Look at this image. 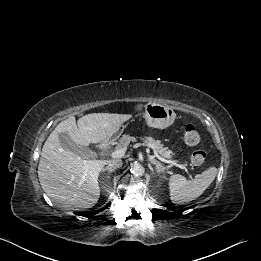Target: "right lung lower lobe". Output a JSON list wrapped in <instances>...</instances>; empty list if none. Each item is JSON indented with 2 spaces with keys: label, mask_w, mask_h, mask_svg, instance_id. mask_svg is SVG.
<instances>
[{
  "label": "right lung lower lobe",
  "mask_w": 261,
  "mask_h": 261,
  "mask_svg": "<svg viewBox=\"0 0 261 261\" xmlns=\"http://www.w3.org/2000/svg\"><path fill=\"white\" fill-rule=\"evenodd\" d=\"M109 205H107L106 207L102 208V209H99L98 211H92V212H79L77 213V215H80V216H92L98 212H101L102 210L106 209Z\"/></svg>",
  "instance_id": "right-lung-lower-lobe-1"
}]
</instances>
